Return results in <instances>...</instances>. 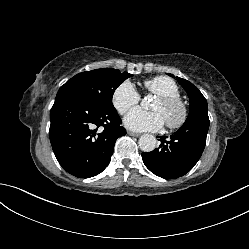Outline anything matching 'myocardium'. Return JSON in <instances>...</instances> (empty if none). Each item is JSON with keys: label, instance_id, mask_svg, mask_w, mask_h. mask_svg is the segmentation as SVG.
Returning <instances> with one entry per match:
<instances>
[{"label": "myocardium", "instance_id": "f54148a6", "mask_svg": "<svg viewBox=\"0 0 249 249\" xmlns=\"http://www.w3.org/2000/svg\"><path fill=\"white\" fill-rule=\"evenodd\" d=\"M158 100L166 108H175L178 110V117L176 119L165 120L166 125L170 129H179L187 121L189 110L186 103L180 97L173 96H158Z\"/></svg>", "mask_w": 249, "mask_h": 249}]
</instances>
